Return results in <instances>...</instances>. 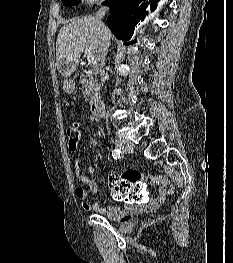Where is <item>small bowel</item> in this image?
I'll list each match as a JSON object with an SVG mask.
<instances>
[{"label":"small bowel","mask_w":233,"mask_h":263,"mask_svg":"<svg viewBox=\"0 0 233 263\" xmlns=\"http://www.w3.org/2000/svg\"><path fill=\"white\" fill-rule=\"evenodd\" d=\"M74 168L77 179L92 193H98L97 183L83 171L80 160H76ZM86 171L88 174L92 175L94 174L95 169L93 166H88ZM118 175L120 176V174ZM143 180L147 184L157 185L156 196L153 197L152 195H149L148 201H144L142 199L141 201H139V204L131 203L125 208H121L118 206H103L98 202L89 204L87 202V191L82 186H78L75 188V196L81 202L84 210L95 211L117 222H125L128 221L135 214L144 212L148 209L154 210L159 208L166 201L167 196L174 191V186L168 176L146 177L143 178Z\"/></svg>","instance_id":"1"}]
</instances>
